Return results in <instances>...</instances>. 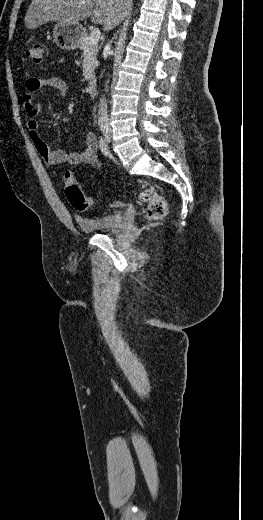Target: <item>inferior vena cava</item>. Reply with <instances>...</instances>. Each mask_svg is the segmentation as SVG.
Instances as JSON below:
<instances>
[{
    "label": "inferior vena cava",
    "instance_id": "602c4592",
    "mask_svg": "<svg viewBox=\"0 0 263 520\" xmlns=\"http://www.w3.org/2000/svg\"><path fill=\"white\" fill-rule=\"evenodd\" d=\"M98 125L101 131H110V125L107 114V104L104 97L100 99L98 110Z\"/></svg>",
    "mask_w": 263,
    "mask_h": 520
}]
</instances>
